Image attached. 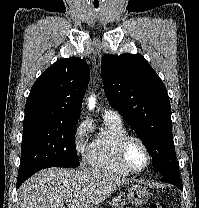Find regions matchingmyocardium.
I'll list each match as a JSON object with an SVG mask.
<instances>
[{"label": "myocardium", "instance_id": "f54148a6", "mask_svg": "<svg viewBox=\"0 0 199 208\" xmlns=\"http://www.w3.org/2000/svg\"><path fill=\"white\" fill-rule=\"evenodd\" d=\"M132 141H137L138 143H140V145L143 147V149L145 150L146 156H147V160L146 163L144 164V166L142 168H134L132 167L127 159V147L130 144V142ZM117 155H118V160L120 162V164L130 173H141L143 171H145L149 165L151 164L152 161V155L150 152V149L147 145V143L139 136L136 135H131L128 134L126 135L120 142L118 145V150H117Z\"/></svg>", "mask_w": 199, "mask_h": 208}]
</instances>
